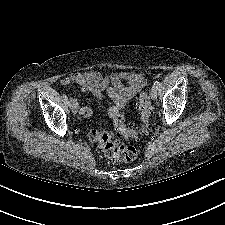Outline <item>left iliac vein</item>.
<instances>
[{"instance_id": "obj_1", "label": "left iliac vein", "mask_w": 225, "mask_h": 225, "mask_svg": "<svg viewBox=\"0 0 225 225\" xmlns=\"http://www.w3.org/2000/svg\"><path fill=\"white\" fill-rule=\"evenodd\" d=\"M150 97H151V99L156 100V98H157V89L156 88L152 87V89L150 91Z\"/></svg>"}]
</instances>
